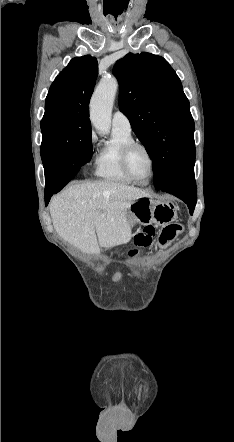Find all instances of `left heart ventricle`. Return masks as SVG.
<instances>
[{
    "label": "left heart ventricle",
    "mask_w": 234,
    "mask_h": 442,
    "mask_svg": "<svg viewBox=\"0 0 234 442\" xmlns=\"http://www.w3.org/2000/svg\"><path fill=\"white\" fill-rule=\"evenodd\" d=\"M129 167L132 174L140 181H146L151 173L150 161L146 152L134 148L129 155Z\"/></svg>",
    "instance_id": "left-heart-ventricle-1"
}]
</instances>
